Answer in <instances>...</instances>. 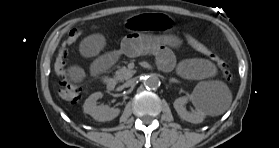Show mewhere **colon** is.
I'll return each mask as SVG.
<instances>
[{
    "instance_id": "obj_1",
    "label": "colon",
    "mask_w": 279,
    "mask_h": 148,
    "mask_svg": "<svg viewBox=\"0 0 279 148\" xmlns=\"http://www.w3.org/2000/svg\"><path fill=\"white\" fill-rule=\"evenodd\" d=\"M82 34L81 30L73 29L69 33L68 39L61 46L58 56L56 58L54 68L56 74L60 78V89L59 94L65 101L71 104H77L82 99V95L85 89L73 80L68 73L66 59L68 56V47L73 44ZM187 39L191 45L199 52L207 55L210 59L214 60L223 72V75L227 81H232V73L229 69V65L221 59L216 53L211 51L202 42L194 38L193 36L187 34Z\"/></svg>"
}]
</instances>
